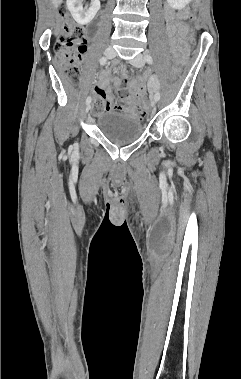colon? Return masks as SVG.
I'll use <instances>...</instances> for the list:
<instances>
[{"instance_id":"colon-1","label":"colon","mask_w":241,"mask_h":379,"mask_svg":"<svg viewBox=\"0 0 241 379\" xmlns=\"http://www.w3.org/2000/svg\"><path fill=\"white\" fill-rule=\"evenodd\" d=\"M60 14L64 19L63 31L60 34L56 47H55V61L56 64L64 71L65 75L71 79L76 80L79 76V64L81 62L82 53L86 49V39L84 34V29L82 26L73 23L70 17L64 9H60ZM198 14L197 8H190L189 12L186 14L188 21H195L196 15ZM186 40L193 44L194 37L192 34H187ZM171 70H179V65H171ZM179 77L178 71H170L168 73V80L170 83H175L176 78ZM120 95H125V91H121ZM141 98L143 103L149 102V97L147 92L141 93ZM110 108L107 101L97 96L94 100V111L102 112Z\"/></svg>"}]
</instances>
